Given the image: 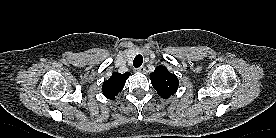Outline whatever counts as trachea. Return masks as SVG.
<instances>
[{
	"label": "trachea",
	"instance_id": "trachea-1",
	"mask_svg": "<svg viewBox=\"0 0 276 138\" xmlns=\"http://www.w3.org/2000/svg\"><path fill=\"white\" fill-rule=\"evenodd\" d=\"M143 63V57L142 55H137L135 58H134V61H133V66L135 68H138L142 65Z\"/></svg>",
	"mask_w": 276,
	"mask_h": 138
}]
</instances>
